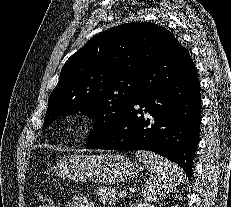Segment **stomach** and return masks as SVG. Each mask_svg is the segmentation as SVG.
<instances>
[{
	"instance_id": "obj_1",
	"label": "stomach",
	"mask_w": 231,
	"mask_h": 207,
	"mask_svg": "<svg viewBox=\"0 0 231 207\" xmlns=\"http://www.w3.org/2000/svg\"><path fill=\"white\" fill-rule=\"evenodd\" d=\"M56 176L74 181L119 183L137 176L138 166L119 154L81 155L61 158L52 167Z\"/></svg>"
}]
</instances>
